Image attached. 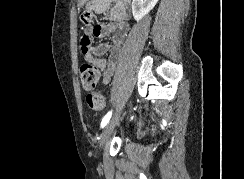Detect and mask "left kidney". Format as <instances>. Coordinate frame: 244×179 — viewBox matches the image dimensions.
Segmentation results:
<instances>
[{"mask_svg": "<svg viewBox=\"0 0 244 179\" xmlns=\"http://www.w3.org/2000/svg\"><path fill=\"white\" fill-rule=\"evenodd\" d=\"M158 0H133L132 2V14L134 20L139 22L146 14H149L150 10H153Z\"/></svg>", "mask_w": 244, "mask_h": 179, "instance_id": "obj_1", "label": "left kidney"}]
</instances>
